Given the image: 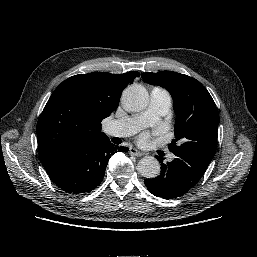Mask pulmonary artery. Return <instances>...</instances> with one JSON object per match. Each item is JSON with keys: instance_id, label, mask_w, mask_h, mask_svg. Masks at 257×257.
<instances>
[{"instance_id": "e3ab8cb5", "label": "pulmonary artery", "mask_w": 257, "mask_h": 257, "mask_svg": "<svg viewBox=\"0 0 257 257\" xmlns=\"http://www.w3.org/2000/svg\"><path fill=\"white\" fill-rule=\"evenodd\" d=\"M171 105L170 94L165 89L155 87L151 91L150 102L145 111L138 115L114 119L106 125L105 131L110 136H130L142 127L157 122L169 111ZM173 158V154L168 155L169 160Z\"/></svg>"}]
</instances>
